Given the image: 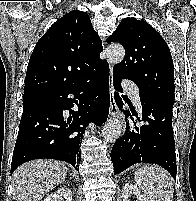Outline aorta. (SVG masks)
<instances>
[{
    "mask_svg": "<svg viewBox=\"0 0 196 201\" xmlns=\"http://www.w3.org/2000/svg\"><path fill=\"white\" fill-rule=\"evenodd\" d=\"M107 59L111 64L120 63L125 56V50L120 44H112L106 49ZM122 123L114 117L108 120L104 126L103 137L106 142H115L121 134Z\"/></svg>",
    "mask_w": 196,
    "mask_h": 201,
    "instance_id": "1",
    "label": "aorta"
}]
</instances>
